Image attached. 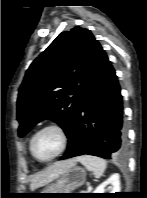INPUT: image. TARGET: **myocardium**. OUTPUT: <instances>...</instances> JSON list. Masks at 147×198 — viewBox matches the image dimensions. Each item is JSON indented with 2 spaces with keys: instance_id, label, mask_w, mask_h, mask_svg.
Here are the masks:
<instances>
[{
  "instance_id": "f54148a6",
  "label": "myocardium",
  "mask_w": 147,
  "mask_h": 198,
  "mask_svg": "<svg viewBox=\"0 0 147 198\" xmlns=\"http://www.w3.org/2000/svg\"><path fill=\"white\" fill-rule=\"evenodd\" d=\"M46 130H54L56 131L59 136H60V139H61V145H60V148L59 150L54 154L52 155L51 157L47 158V159H40L38 158L35 153H34V150H33V143H34V140L35 138L43 131H46ZM67 144H68V134L66 132V130L59 124H56V123H51V124H47L41 128H39L31 137L30 139V143H29V149H30V152H31V155L33 156V158H35L37 161L39 162H43V163H46V162H50L54 159H56L57 157H59L66 149L67 147Z\"/></svg>"
}]
</instances>
